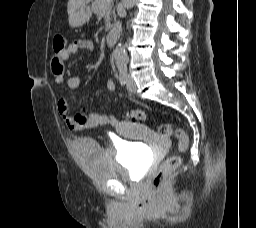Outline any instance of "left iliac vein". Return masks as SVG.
Returning <instances> with one entry per match:
<instances>
[{
  "mask_svg": "<svg viewBox=\"0 0 256 228\" xmlns=\"http://www.w3.org/2000/svg\"><path fill=\"white\" fill-rule=\"evenodd\" d=\"M126 87L130 93H134L137 89L136 83L131 75H128V77H127Z\"/></svg>",
  "mask_w": 256,
  "mask_h": 228,
  "instance_id": "obj_1",
  "label": "left iliac vein"
}]
</instances>
